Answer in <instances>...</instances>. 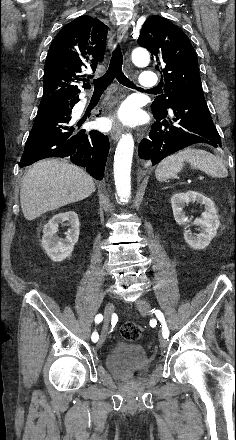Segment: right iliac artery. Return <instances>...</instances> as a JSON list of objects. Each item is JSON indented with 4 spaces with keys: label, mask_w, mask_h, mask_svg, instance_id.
Here are the masks:
<instances>
[{
    "label": "right iliac artery",
    "mask_w": 236,
    "mask_h": 440,
    "mask_svg": "<svg viewBox=\"0 0 236 440\" xmlns=\"http://www.w3.org/2000/svg\"><path fill=\"white\" fill-rule=\"evenodd\" d=\"M102 320H103V316H102V314H98V315L95 317V322H96V323H100ZM91 339H92L93 342H97V341H98L99 336H98V333H97L96 331L93 332Z\"/></svg>",
    "instance_id": "obj_1"
}]
</instances>
